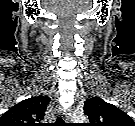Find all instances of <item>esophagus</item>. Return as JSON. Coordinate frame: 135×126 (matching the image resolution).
Segmentation results:
<instances>
[{
  "mask_svg": "<svg viewBox=\"0 0 135 126\" xmlns=\"http://www.w3.org/2000/svg\"><path fill=\"white\" fill-rule=\"evenodd\" d=\"M71 120V111L65 113V121L68 123Z\"/></svg>",
  "mask_w": 135,
  "mask_h": 126,
  "instance_id": "1",
  "label": "esophagus"
}]
</instances>
